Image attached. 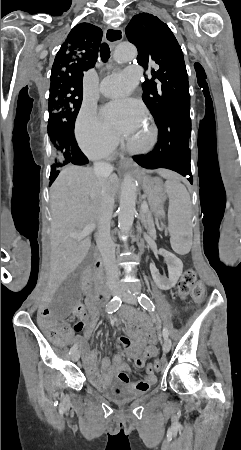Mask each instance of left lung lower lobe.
Masks as SVG:
<instances>
[{
  "mask_svg": "<svg viewBox=\"0 0 241 450\" xmlns=\"http://www.w3.org/2000/svg\"><path fill=\"white\" fill-rule=\"evenodd\" d=\"M158 142L154 150L134 160L146 169L167 168L186 176L193 183L188 140L191 134L190 102L166 112L156 122Z\"/></svg>",
  "mask_w": 241,
  "mask_h": 450,
  "instance_id": "0a47b994",
  "label": "left lung lower lobe"
}]
</instances>
